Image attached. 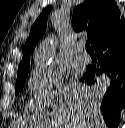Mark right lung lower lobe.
I'll return each instance as SVG.
<instances>
[{"label": "right lung lower lobe", "instance_id": "1", "mask_svg": "<svg viewBox=\"0 0 125 128\" xmlns=\"http://www.w3.org/2000/svg\"><path fill=\"white\" fill-rule=\"evenodd\" d=\"M98 58L84 75L88 84L103 90L101 111L108 127L119 125V111L125 107V22L101 38L93 47Z\"/></svg>", "mask_w": 125, "mask_h": 128}]
</instances>
